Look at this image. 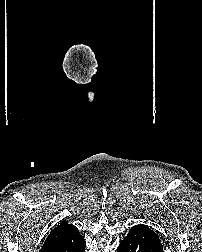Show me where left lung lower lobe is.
Here are the masks:
<instances>
[{
    "mask_svg": "<svg viewBox=\"0 0 202 252\" xmlns=\"http://www.w3.org/2000/svg\"><path fill=\"white\" fill-rule=\"evenodd\" d=\"M118 252H163L158 235L148 226H133L118 246Z\"/></svg>",
    "mask_w": 202,
    "mask_h": 252,
    "instance_id": "1",
    "label": "left lung lower lobe"
}]
</instances>
